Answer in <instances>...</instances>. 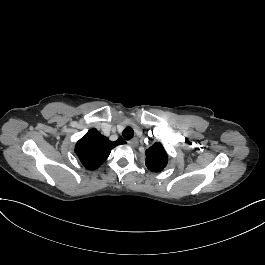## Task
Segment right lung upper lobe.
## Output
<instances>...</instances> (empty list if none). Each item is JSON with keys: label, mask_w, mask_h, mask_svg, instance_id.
Instances as JSON below:
<instances>
[{"label": "right lung upper lobe", "mask_w": 265, "mask_h": 265, "mask_svg": "<svg viewBox=\"0 0 265 265\" xmlns=\"http://www.w3.org/2000/svg\"><path fill=\"white\" fill-rule=\"evenodd\" d=\"M124 143L125 141L121 138L112 142L93 128L77 142L75 152L84 167L92 170L107 159L115 146Z\"/></svg>", "instance_id": "cb5924a9"}]
</instances>
